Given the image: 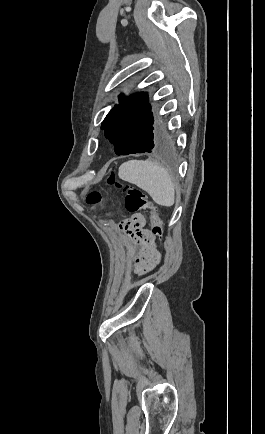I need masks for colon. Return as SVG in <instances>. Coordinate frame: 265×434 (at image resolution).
I'll list each match as a JSON object with an SVG mask.
<instances>
[{"mask_svg": "<svg viewBox=\"0 0 265 434\" xmlns=\"http://www.w3.org/2000/svg\"><path fill=\"white\" fill-rule=\"evenodd\" d=\"M122 190L125 193L124 206L126 210L133 213L147 211L153 234L161 238L163 236V219L148 195L140 189L128 186H124ZM100 200L101 194L95 190L91 191L86 199L87 203L92 206L97 205Z\"/></svg>", "mask_w": 265, "mask_h": 434, "instance_id": "obj_1", "label": "colon"}]
</instances>
